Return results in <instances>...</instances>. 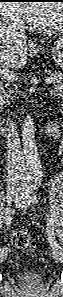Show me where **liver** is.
<instances>
[{
  "label": "liver",
  "instance_id": "6515ba94",
  "mask_svg": "<svg viewBox=\"0 0 63 297\" xmlns=\"http://www.w3.org/2000/svg\"><path fill=\"white\" fill-rule=\"evenodd\" d=\"M26 37L21 38L11 32L0 30V74L1 77L12 74L22 68L28 59Z\"/></svg>",
  "mask_w": 63,
  "mask_h": 297
}]
</instances>
